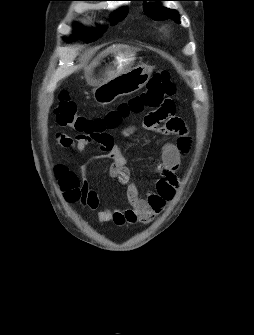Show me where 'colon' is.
Here are the masks:
<instances>
[{
    "label": "colon",
    "instance_id": "obj_1",
    "mask_svg": "<svg viewBox=\"0 0 254 335\" xmlns=\"http://www.w3.org/2000/svg\"><path fill=\"white\" fill-rule=\"evenodd\" d=\"M176 87L168 71L155 73L144 91L127 102H122L117 109L111 110L105 117L88 118L78 112L76 103L66 91L59 95V102L54 112L57 123L75 133L77 137L88 142H95L102 147H110L111 136L108 131L118 127L123 118L130 113L143 111L145 108H158L163 98H171ZM155 121V120H154ZM77 190L75 197H79Z\"/></svg>",
    "mask_w": 254,
    "mask_h": 335
}]
</instances>
